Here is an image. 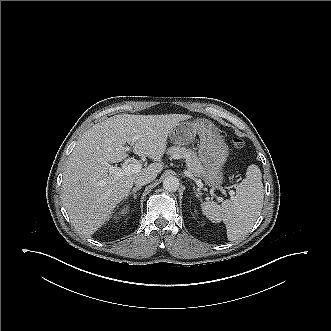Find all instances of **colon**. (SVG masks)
Listing matches in <instances>:
<instances>
[{
    "label": "colon",
    "instance_id": "obj_1",
    "mask_svg": "<svg viewBox=\"0 0 331 331\" xmlns=\"http://www.w3.org/2000/svg\"><path fill=\"white\" fill-rule=\"evenodd\" d=\"M233 142V145L236 147V148H241L243 145H244V142L242 139H239V138H234L232 140Z\"/></svg>",
    "mask_w": 331,
    "mask_h": 331
}]
</instances>
